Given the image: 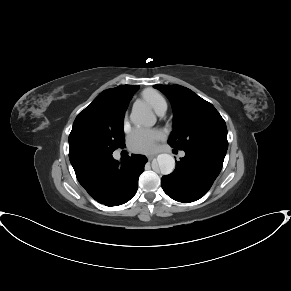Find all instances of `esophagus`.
Returning a JSON list of instances; mask_svg holds the SVG:
<instances>
[{
    "label": "esophagus",
    "instance_id": "esophagus-1",
    "mask_svg": "<svg viewBox=\"0 0 291 291\" xmlns=\"http://www.w3.org/2000/svg\"><path fill=\"white\" fill-rule=\"evenodd\" d=\"M157 155L153 154V155H148L147 158L149 161L153 160Z\"/></svg>",
    "mask_w": 291,
    "mask_h": 291
}]
</instances>
